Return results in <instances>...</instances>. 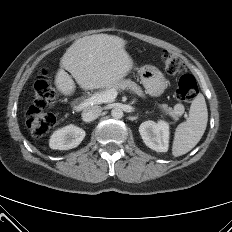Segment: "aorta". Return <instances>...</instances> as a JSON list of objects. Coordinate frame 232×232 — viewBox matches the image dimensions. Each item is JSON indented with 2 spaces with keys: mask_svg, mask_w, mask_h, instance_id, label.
Masks as SVG:
<instances>
[{
  "mask_svg": "<svg viewBox=\"0 0 232 232\" xmlns=\"http://www.w3.org/2000/svg\"><path fill=\"white\" fill-rule=\"evenodd\" d=\"M111 115L115 119H120L123 117V111L120 108L116 107V108L112 109Z\"/></svg>",
  "mask_w": 232,
  "mask_h": 232,
  "instance_id": "1",
  "label": "aorta"
}]
</instances>
